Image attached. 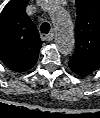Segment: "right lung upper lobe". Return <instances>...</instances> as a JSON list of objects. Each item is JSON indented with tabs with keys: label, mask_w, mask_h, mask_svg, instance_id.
Here are the masks:
<instances>
[{
	"label": "right lung upper lobe",
	"mask_w": 100,
	"mask_h": 118,
	"mask_svg": "<svg viewBox=\"0 0 100 118\" xmlns=\"http://www.w3.org/2000/svg\"><path fill=\"white\" fill-rule=\"evenodd\" d=\"M29 0H11L0 14V59L11 70L31 69L42 45L39 32L26 14Z\"/></svg>",
	"instance_id": "obj_1"
}]
</instances>
